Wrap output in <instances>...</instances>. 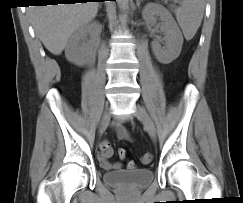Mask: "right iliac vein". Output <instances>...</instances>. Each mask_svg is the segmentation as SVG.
<instances>
[{
	"label": "right iliac vein",
	"instance_id": "right-iliac-vein-1",
	"mask_svg": "<svg viewBox=\"0 0 243 203\" xmlns=\"http://www.w3.org/2000/svg\"><path fill=\"white\" fill-rule=\"evenodd\" d=\"M109 121H110V113H109V109L106 108L101 118L100 127H99L100 132L108 125Z\"/></svg>",
	"mask_w": 243,
	"mask_h": 203
}]
</instances>
